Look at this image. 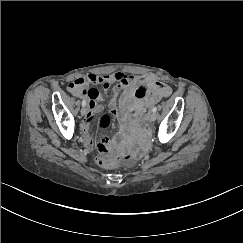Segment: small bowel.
I'll return each instance as SVG.
<instances>
[{
  "instance_id": "1",
  "label": "small bowel",
  "mask_w": 243,
  "mask_h": 243,
  "mask_svg": "<svg viewBox=\"0 0 243 243\" xmlns=\"http://www.w3.org/2000/svg\"><path fill=\"white\" fill-rule=\"evenodd\" d=\"M113 82H119V84L114 87V96L110 100L109 106L118 120L128 126L136 123L132 114L142 115L163 97L169 96L171 92L170 88L159 82L153 74L131 76L115 72L103 75L88 74L74 78L69 83L68 90L74 96L85 97L88 100L89 112L81 124L83 140L88 148L93 146L90 136V127L94 121L93 112L101 110V106L98 104L100 94L97 89L89 88V85L102 83L107 89ZM122 89H125V93L118 102L117 96Z\"/></svg>"
}]
</instances>
